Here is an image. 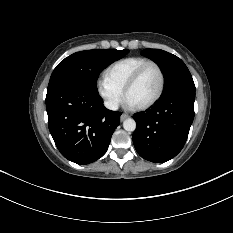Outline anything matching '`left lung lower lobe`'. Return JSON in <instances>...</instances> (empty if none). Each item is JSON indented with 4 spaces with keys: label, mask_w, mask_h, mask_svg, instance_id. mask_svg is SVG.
I'll use <instances>...</instances> for the list:
<instances>
[{
    "label": "left lung lower lobe",
    "mask_w": 233,
    "mask_h": 233,
    "mask_svg": "<svg viewBox=\"0 0 233 233\" xmlns=\"http://www.w3.org/2000/svg\"><path fill=\"white\" fill-rule=\"evenodd\" d=\"M195 91L176 90L163 95L150 110L136 113L133 143L138 154L162 163L183 148L194 119Z\"/></svg>",
    "instance_id": "left-lung-lower-lobe-1"
}]
</instances>
